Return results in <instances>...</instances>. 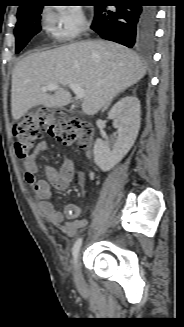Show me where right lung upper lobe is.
I'll use <instances>...</instances> for the list:
<instances>
[{
	"mask_svg": "<svg viewBox=\"0 0 184 327\" xmlns=\"http://www.w3.org/2000/svg\"><path fill=\"white\" fill-rule=\"evenodd\" d=\"M21 5L18 11L33 7L39 3V0H20Z\"/></svg>",
	"mask_w": 184,
	"mask_h": 327,
	"instance_id": "right-lung-upper-lobe-1",
	"label": "right lung upper lobe"
}]
</instances>
